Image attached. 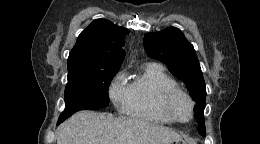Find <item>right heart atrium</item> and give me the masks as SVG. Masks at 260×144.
Here are the masks:
<instances>
[{"label": "right heart atrium", "instance_id": "obj_1", "mask_svg": "<svg viewBox=\"0 0 260 144\" xmlns=\"http://www.w3.org/2000/svg\"><path fill=\"white\" fill-rule=\"evenodd\" d=\"M109 97L113 104L122 108L125 106L127 99L128 86L124 83L123 73H119L109 86Z\"/></svg>", "mask_w": 260, "mask_h": 144}]
</instances>
